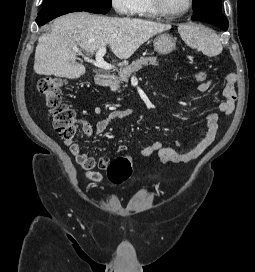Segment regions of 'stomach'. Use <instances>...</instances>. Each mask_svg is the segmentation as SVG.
<instances>
[{
  "mask_svg": "<svg viewBox=\"0 0 255 272\" xmlns=\"http://www.w3.org/2000/svg\"><path fill=\"white\" fill-rule=\"evenodd\" d=\"M154 50L161 55H167L176 48L174 37L168 33H160L153 41Z\"/></svg>",
  "mask_w": 255,
  "mask_h": 272,
  "instance_id": "0dacf381",
  "label": "stomach"
}]
</instances>
